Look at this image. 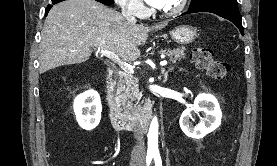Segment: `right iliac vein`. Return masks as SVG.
<instances>
[{
    "mask_svg": "<svg viewBox=\"0 0 277 166\" xmlns=\"http://www.w3.org/2000/svg\"><path fill=\"white\" fill-rule=\"evenodd\" d=\"M130 166H142L141 162H133Z\"/></svg>",
    "mask_w": 277,
    "mask_h": 166,
    "instance_id": "right-iliac-vein-1",
    "label": "right iliac vein"
}]
</instances>
